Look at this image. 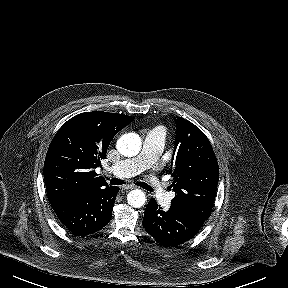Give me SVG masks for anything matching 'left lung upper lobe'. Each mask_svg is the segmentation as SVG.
<instances>
[{"label":"left lung upper lobe","mask_w":288,"mask_h":288,"mask_svg":"<svg viewBox=\"0 0 288 288\" xmlns=\"http://www.w3.org/2000/svg\"><path fill=\"white\" fill-rule=\"evenodd\" d=\"M175 121L177 131L171 186L176 196L171 206L206 220L216 197L218 163L208 138L197 126L181 117Z\"/></svg>","instance_id":"left-lung-upper-lobe-1"}]
</instances>
